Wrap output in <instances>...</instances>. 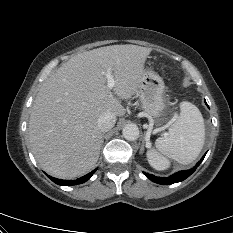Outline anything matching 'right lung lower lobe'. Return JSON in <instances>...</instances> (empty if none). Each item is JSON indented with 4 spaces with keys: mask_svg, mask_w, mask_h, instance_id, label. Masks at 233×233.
<instances>
[{
    "mask_svg": "<svg viewBox=\"0 0 233 233\" xmlns=\"http://www.w3.org/2000/svg\"><path fill=\"white\" fill-rule=\"evenodd\" d=\"M95 171H96V169L93 170L92 172L88 173L87 175H85V176H83L81 178H78L77 180H74V181L56 179V178H53V177H50V176H49V178L58 185L68 186V185L81 184V183L86 182L87 180H89L91 178V176L95 173Z\"/></svg>",
    "mask_w": 233,
    "mask_h": 233,
    "instance_id": "obj_1",
    "label": "right lung lower lobe"
}]
</instances>
